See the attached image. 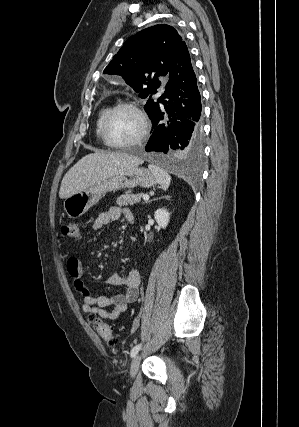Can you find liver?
<instances>
[{"instance_id": "6515ba94", "label": "liver", "mask_w": 299, "mask_h": 427, "mask_svg": "<svg viewBox=\"0 0 299 427\" xmlns=\"http://www.w3.org/2000/svg\"><path fill=\"white\" fill-rule=\"evenodd\" d=\"M136 156L124 153L95 152L81 158L62 179L59 197L66 199L115 174L142 164Z\"/></svg>"}]
</instances>
